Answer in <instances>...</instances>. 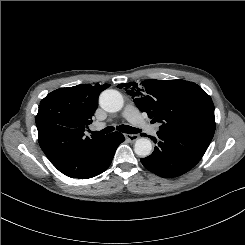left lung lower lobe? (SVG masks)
<instances>
[{"label": "left lung lower lobe", "mask_w": 245, "mask_h": 245, "mask_svg": "<svg viewBox=\"0 0 245 245\" xmlns=\"http://www.w3.org/2000/svg\"><path fill=\"white\" fill-rule=\"evenodd\" d=\"M153 153L141 158L146 169L161 177H177L191 170L203 157L211 141L187 134L159 130Z\"/></svg>", "instance_id": "1"}]
</instances>
